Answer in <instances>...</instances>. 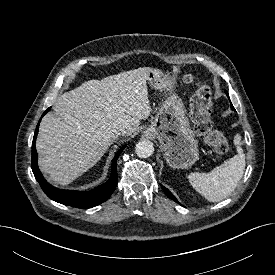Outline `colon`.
Wrapping results in <instances>:
<instances>
[{
	"label": "colon",
	"mask_w": 275,
	"mask_h": 275,
	"mask_svg": "<svg viewBox=\"0 0 275 275\" xmlns=\"http://www.w3.org/2000/svg\"><path fill=\"white\" fill-rule=\"evenodd\" d=\"M183 81L196 86L189 103V117L194 132L202 137L206 144L216 153L224 154L228 151V138L213 128L210 113L213 108L212 92L209 86L199 83L191 74H185Z\"/></svg>",
	"instance_id": "1"
}]
</instances>
